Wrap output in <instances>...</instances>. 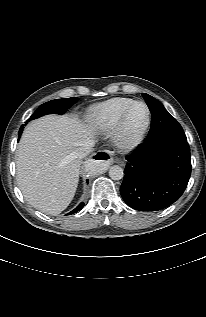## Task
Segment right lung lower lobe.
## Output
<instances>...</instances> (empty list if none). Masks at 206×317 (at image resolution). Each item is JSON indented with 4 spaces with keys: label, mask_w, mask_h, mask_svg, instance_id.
Listing matches in <instances>:
<instances>
[{
    "label": "right lung lower lobe",
    "mask_w": 206,
    "mask_h": 317,
    "mask_svg": "<svg viewBox=\"0 0 206 317\" xmlns=\"http://www.w3.org/2000/svg\"><path fill=\"white\" fill-rule=\"evenodd\" d=\"M21 132H22V128H21L20 131H19V135L21 134ZM83 206H84V203L81 202L73 211H71V212H70L69 214H67V215H70V214H73V213L78 212L79 210H81V209L83 208Z\"/></svg>",
    "instance_id": "right-lung-lower-lobe-1"
}]
</instances>
